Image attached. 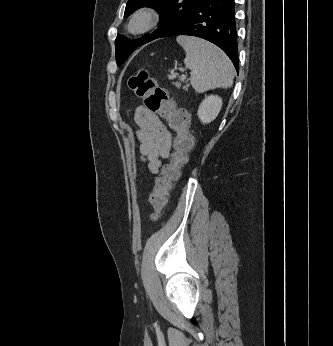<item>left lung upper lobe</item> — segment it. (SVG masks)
Returning a JSON list of instances; mask_svg holds the SVG:
<instances>
[{"instance_id": "1", "label": "left lung upper lobe", "mask_w": 333, "mask_h": 346, "mask_svg": "<svg viewBox=\"0 0 333 346\" xmlns=\"http://www.w3.org/2000/svg\"><path fill=\"white\" fill-rule=\"evenodd\" d=\"M199 0H128L124 17H128L136 9L143 6H152L161 13V25L152 34L144 39L132 42L118 35L115 40L116 61L120 66L136 47L159 38L170 27L182 20Z\"/></svg>"}]
</instances>
